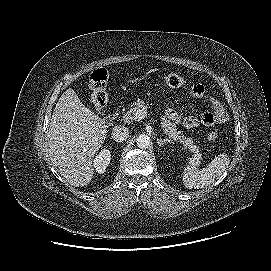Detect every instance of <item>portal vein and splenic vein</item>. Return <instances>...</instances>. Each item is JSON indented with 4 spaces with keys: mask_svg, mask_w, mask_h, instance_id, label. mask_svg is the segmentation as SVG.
<instances>
[{
    "mask_svg": "<svg viewBox=\"0 0 271 271\" xmlns=\"http://www.w3.org/2000/svg\"><path fill=\"white\" fill-rule=\"evenodd\" d=\"M147 115V110H146V108H142V109H140L137 113H136V118L137 119H143V118H145V116Z\"/></svg>",
    "mask_w": 271,
    "mask_h": 271,
    "instance_id": "obj_1",
    "label": "portal vein and splenic vein"
}]
</instances>
